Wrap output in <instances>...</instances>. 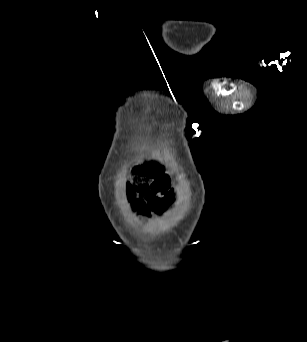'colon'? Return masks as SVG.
<instances>
[{
	"label": "colon",
	"mask_w": 307,
	"mask_h": 342,
	"mask_svg": "<svg viewBox=\"0 0 307 342\" xmlns=\"http://www.w3.org/2000/svg\"><path fill=\"white\" fill-rule=\"evenodd\" d=\"M134 178L132 180L131 189L134 194H138L142 198H155L158 193L163 192V203L174 198V193L170 189L168 176L164 173L162 167L157 169L139 166L135 169ZM147 202L149 200H146ZM129 206L130 201H129Z\"/></svg>",
	"instance_id": "1"
}]
</instances>
